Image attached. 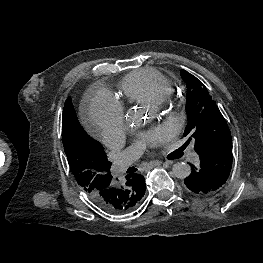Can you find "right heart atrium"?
<instances>
[{
    "mask_svg": "<svg viewBox=\"0 0 263 263\" xmlns=\"http://www.w3.org/2000/svg\"><path fill=\"white\" fill-rule=\"evenodd\" d=\"M89 120L103 142L108 143L119 135L124 125L122 105L106 92H97L89 106Z\"/></svg>",
    "mask_w": 263,
    "mask_h": 263,
    "instance_id": "right-heart-atrium-1",
    "label": "right heart atrium"
}]
</instances>
